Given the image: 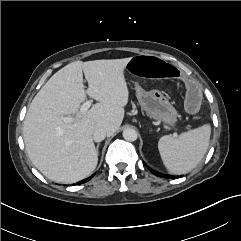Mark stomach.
Instances as JSON below:
<instances>
[{"label": "stomach", "instance_id": "0dacf381", "mask_svg": "<svg viewBox=\"0 0 241 241\" xmlns=\"http://www.w3.org/2000/svg\"><path fill=\"white\" fill-rule=\"evenodd\" d=\"M136 94L147 116L159 123L175 127L177 111L159 90L145 91L141 86L136 85Z\"/></svg>", "mask_w": 241, "mask_h": 241}]
</instances>
